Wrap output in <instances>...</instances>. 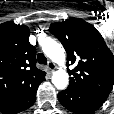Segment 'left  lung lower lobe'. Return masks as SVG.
<instances>
[{
	"label": "left lung lower lobe",
	"instance_id": "left-lung-lower-lobe-1",
	"mask_svg": "<svg viewBox=\"0 0 114 114\" xmlns=\"http://www.w3.org/2000/svg\"><path fill=\"white\" fill-rule=\"evenodd\" d=\"M106 99L104 95L70 87L58 93L59 102L76 114H91L99 109Z\"/></svg>",
	"mask_w": 114,
	"mask_h": 114
}]
</instances>
